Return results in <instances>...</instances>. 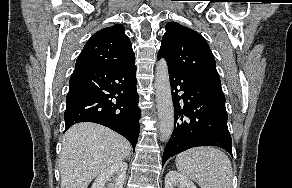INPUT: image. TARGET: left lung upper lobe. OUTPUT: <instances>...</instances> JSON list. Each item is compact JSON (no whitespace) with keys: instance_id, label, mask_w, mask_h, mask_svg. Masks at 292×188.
<instances>
[{"instance_id":"obj_1","label":"left lung upper lobe","mask_w":292,"mask_h":188,"mask_svg":"<svg viewBox=\"0 0 292 188\" xmlns=\"http://www.w3.org/2000/svg\"><path fill=\"white\" fill-rule=\"evenodd\" d=\"M167 60L168 69L221 87L214 56L206 40L196 31L177 22L166 25L158 59Z\"/></svg>"}]
</instances>
